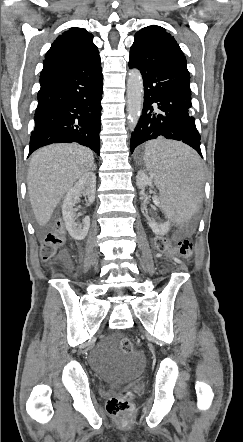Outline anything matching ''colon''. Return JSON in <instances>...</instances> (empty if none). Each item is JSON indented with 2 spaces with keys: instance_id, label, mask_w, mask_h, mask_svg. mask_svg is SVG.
I'll list each match as a JSON object with an SVG mask.
<instances>
[{
  "instance_id": "1",
  "label": "colon",
  "mask_w": 243,
  "mask_h": 442,
  "mask_svg": "<svg viewBox=\"0 0 243 442\" xmlns=\"http://www.w3.org/2000/svg\"><path fill=\"white\" fill-rule=\"evenodd\" d=\"M154 231H156V235L152 238L155 247L154 251L160 253L162 258H175L181 262H185L186 260H190V258L194 256V253L198 251L196 243L191 236L172 237L169 232L160 233V231H157V228H154ZM65 240L62 224L57 223L54 230L47 234L42 244L40 250L41 259L43 261L52 259L60 247L63 246ZM170 241L174 244L175 248L168 245ZM119 347L121 351L126 354L133 351L132 341L127 337L120 339ZM131 397V392L125 390L110 398L106 405L108 414L118 419L129 418L131 415Z\"/></svg>"
}]
</instances>
